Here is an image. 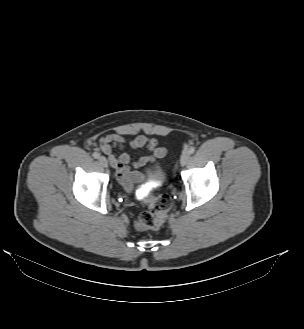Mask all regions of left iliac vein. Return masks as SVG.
I'll list each match as a JSON object with an SVG mask.
<instances>
[{"label": "left iliac vein", "instance_id": "1", "mask_svg": "<svg viewBox=\"0 0 304 329\" xmlns=\"http://www.w3.org/2000/svg\"><path fill=\"white\" fill-rule=\"evenodd\" d=\"M190 158V153L188 151H184L180 157V164L182 166L186 165Z\"/></svg>", "mask_w": 304, "mask_h": 329}]
</instances>
